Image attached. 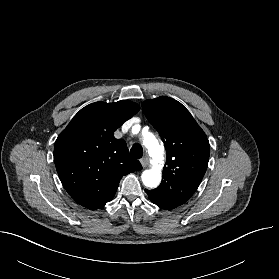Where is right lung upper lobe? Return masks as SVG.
<instances>
[{"label": "right lung upper lobe", "mask_w": 279, "mask_h": 279, "mask_svg": "<svg viewBox=\"0 0 279 279\" xmlns=\"http://www.w3.org/2000/svg\"><path fill=\"white\" fill-rule=\"evenodd\" d=\"M131 101L95 102L82 108L58 136L55 166L69 195L88 209L111 201L124 175L142 169L113 133L139 111Z\"/></svg>", "instance_id": "obj_1"}]
</instances>
